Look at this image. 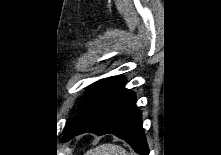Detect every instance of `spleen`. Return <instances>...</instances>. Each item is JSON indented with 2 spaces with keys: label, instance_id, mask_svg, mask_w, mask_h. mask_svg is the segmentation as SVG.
<instances>
[{
  "label": "spleen",
  "instance_id": "3e777b00",
  "mask_svg": "<svg viewBox=\"0 0 221 155\" xmlns=\"http://www.w3.org/2000/svg\"><path fill=\"white\" fill-rule=\"evenodd\" d=\"M85 155H130L124 148L115 144H102L87 151Z\"/></svg>",
  "mask_w": 221,
  "mask_h": 155
}]
</instances>
